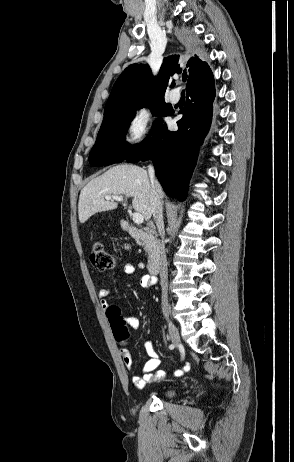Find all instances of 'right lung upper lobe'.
Returning a JSON list of instances; mask_svg holds the SVG:
<instances>
[{"label":"right lung upper lobe","mask_w":294,"mask_h":462,"mask_svg":"<svg viewBox=\"0 0 294 462\" xmlns=\"http://www.w3.org/2000/svg\"><path fill=\"white\" fill-rule=\"evenodd\" d=\"M186 69L189 72L186 88L212 73L208 64L198 57L191 58L186 64ZM181 71L177 55L164 59L156 78L152 76L148 65L132 64L128 66L112 88L105 106L104 118L125 112L149 99H164L170 76ZM173 85L174 83L171 87Z\"/></svg>","instance_id":"right-lung-upper-lobe-1"}]
</instances>
